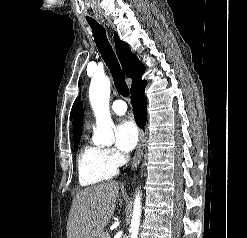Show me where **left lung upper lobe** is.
Returning a JSON list of instances; mask_svg holds the SVG:
<instances>
[{
    "label": "left lung upper lobe",
    "mask_w": 247,
    "mask_h": 238,
    "mask_svg": "<svg viewBox=\"0 0 247 238\" xmlns=\"http://www.w3.org/2000/svg\"><path fill=\"white\" fill-rule=\"evenodd\" d=\"M78 101H79V99H77V100L74 102V105H73L72 111H71V118H72V115H73V113H74V111H75V109H76V106H77V104H78Z\"/></svg>",
    "instance_id": "obj_1"
}]
</instances>
